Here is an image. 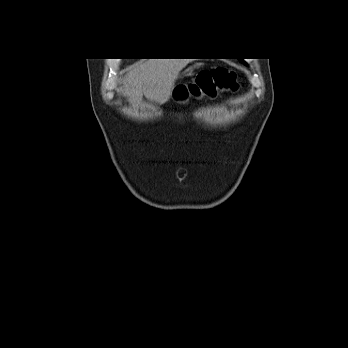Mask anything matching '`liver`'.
<instances>
[{"label": "liver", "mask_w": 348, "mask_h": 348, "mask_svg": "<svg viewBox=\"0 0 348 348\" xmlns=\"http://www.w3.org/2000/svg\"><path fill=\"white\" fill-rule=\"evenodd\" d=\"M190 59H147L128 71L123 81V94L130 102H139L144 95L157 104L172 96L175 81Z\"/></svg>", "instance_id": "liver-1"}]
</instances>
